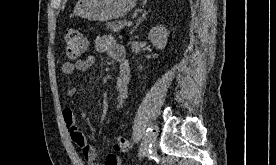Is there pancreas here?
<instances>
[{"label": "pancreas", "mask_w": 276, "mask_h": 165, "mask_svg": "<svg viewBox=\"0 0 276 165\" xmlns=\"http://www.w3.org/2000/svg\"><path fill=\"white\" fill-rule=\"evenodd\" d=\"M126 23H127L126 20L112 22V23H106V27L113 32H119L122 28L125 27Z\"/></svg>", "instance_id": "cf45deb5"}]
</instances>
